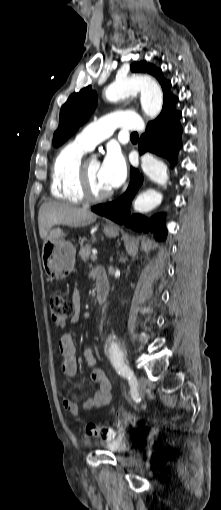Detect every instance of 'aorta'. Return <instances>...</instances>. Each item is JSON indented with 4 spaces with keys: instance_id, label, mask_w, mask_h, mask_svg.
<instances>
[{
    "instance_id": "1",
    "label": "aorta",
    "mask_w": 221,
    "mask_h": 510,
    "mask_svg": "<svg viewBox=\"0 0 221 510\" xmlns=\"http://www.w3.org/2000/svg\"><path fill=\"white\" fill-rule=\"evenodd\" d=\"M137 92L141 93V106L144 113L150 118H156L163 105V94L158 84L146 75H130L110 84L105 95L110 102H117ZM141 168L145 175L159 185H166L168 181L167 166L153 155L146 153L141 158ZM162 194L154 189H147L140 193L134 202L137 212H149L162 202ZM108 349L118 346L117 338L109 334L106 339Z\"/></svg>"
}]
</instances>
